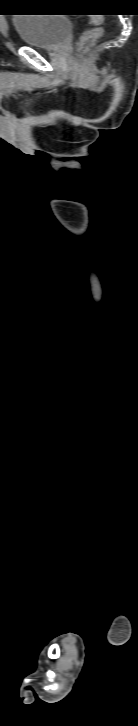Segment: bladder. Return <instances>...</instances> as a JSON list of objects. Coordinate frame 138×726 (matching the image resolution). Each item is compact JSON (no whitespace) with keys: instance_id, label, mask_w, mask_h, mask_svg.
Here are the masks:
<instances>
[{"instance_id":"1","label":"bladder","mask_w":138,"mask_h":726,"mask_svg":"<svg viewBox=\"0 0 138 726\" xmlns=\"http://www.w3.org/2000/svg\"><path fill=\"white\" fill-rule=\"evenodd\" d=\"M51 15L50 17H42ZM22 42L31 47L55 49L71 30V21L64 14H22L12 21Z\"/></svg>"}]
</instances>
